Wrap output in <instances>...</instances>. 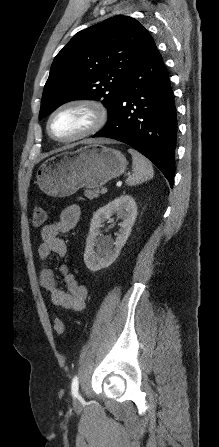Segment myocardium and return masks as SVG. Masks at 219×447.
Masks as SVG:
<instances>
[{
  "mask_svg": "<svg viewBox=\"0 0 219 447\" xmlns=\"http://www.w3.org/2000/svg\"><path fill=\"white\" fill-rule=\"evenodd\" d=\"M75 108L84 109L91 115L92 121L90 125L79 134L71 137L61 138L54 135L51 128L52 120L54 119V117L59 113H61L62 111ZM107 121H108V111L101 102L86 98H76L63 102L58 107H56L50 113L47 119L46 128L49 136L55 141L61 143H70L85 139L98 133L106 125Z\"/></svg>",
  "mask_w": 219,
  "mask_h": 447,
  "instance_id": "obj_1",
  "label": "myocardium"
}]
</instances>
